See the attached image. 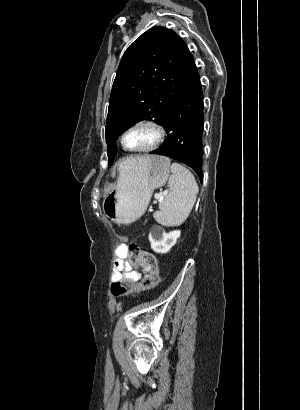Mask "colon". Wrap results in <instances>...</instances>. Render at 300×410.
<instances>
[{
	"label": "colon",
	"instance_id": "5ec220e1",
	"mask_svg": "<svg viewBox=\"0 0 300 410\" xmlns=\"http://www.w3.org/2000/svg\"><path fill=\"white\" fill-rule=\"evenodd\" d=\"M129 259L133 264L143 269L144 275L138 284L129 279H120L111 286V293L115 297H121L133 292L147 291L155 288L160 281L158 261L156 256L142 249L137 244H130L127 248Z\"/></svg>",
	"mask_w": 300,
	"mask_h": 410
}]
</instances>
